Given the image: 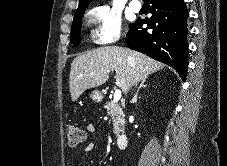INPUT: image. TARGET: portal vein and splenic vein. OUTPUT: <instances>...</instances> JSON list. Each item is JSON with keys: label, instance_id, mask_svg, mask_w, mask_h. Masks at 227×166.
Returning <instances> with one entry per match:
<instances>
[{"label": "portal vein and splenic vein", "instance_id": "portal-vein-and-splenic-vein-1", "mask_svg": "<svg viewBox=\"0 0 227 166\" xmlns=\"http://www.w3.org/2000/svg\"><path fill=\"white\" fill-rule=\"evenodd\" d=\"M121 98V90L117 89L114 93L113 102L117 103Z\"/></svg>", "mask_w": 227, "mask_h": 166}]
</instances>
